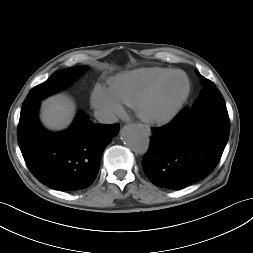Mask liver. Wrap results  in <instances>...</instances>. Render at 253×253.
<instances>
[{"mask_svg": "<svg viewBox=\"0 0 253 253\" xmlns=\"http://www.w3.org/2000/svg\"><path fill=\"white\" fill-rule=\"evenodd\" d=\"M74 104L63 95H56L43 102L41 120L51 130L66 128L74 117Z\"/></svg>", "mask_w": 253, "mask_h": 253, "instance_id": "1", "label": "liver"}]
</instances>
